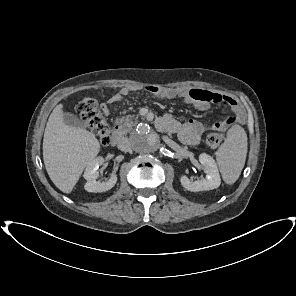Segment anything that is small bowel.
I'll return each instance as SVG.
<instances>
[{"instance_id":"obj_1","label":"small bowel","mask_w":296,"mask_h":296,"mask_svg":"<svg viewBox=\"0 0 296 296\" xmlns=\"http://www.w3.org/2000/svg\"><path fill=\"white\" fill-rule=\"evenodd\" d=\"M147 90L162 99H180L186 104L192 105L197 110H207L212 104H220L228 107L233 112L221 121H216L212 124H205L195 119H189L181 124L170 115H164L157 121V126L160 129L159 122H165L169 125V132H176L180 140L189 145H196L200 142L202 135L207 130H226L236 123L244 121V112L239 103L232 97L222 95L201 88H157L155 86L147 87ZM132 91L131 88H122L118 93L113 94L107 101L102 104V109L105 114L109 112L108 104L121 101Z\"/></svg>"}]
</instances>
